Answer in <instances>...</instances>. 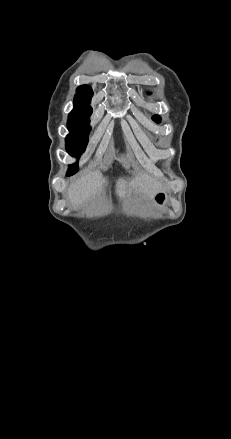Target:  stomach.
Returning a JSON list of instances; mask_svg holds the SVG:
<instances>
[{"label":"stomach","mask_w":231,"mask_h":439,"mask_svg":"<svg viewBox=\"0 0 231 439\" xmlns=\"http://www.w3.org/2000/svg\"><path fill=\"white\" fill-rule=\"evenodd\" d=\"M154 202H156L157 204H163V202L165 201V196L162 192H158L154 195L153 197Z\"/></svg>","instance_id":"0dacf381"}]
</instances>
